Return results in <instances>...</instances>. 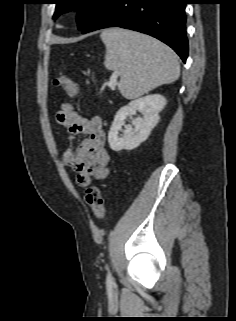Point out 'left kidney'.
<instances>
[{"label": "left kidney", "mask_w": 236, "mask_h": 321, "mask_svg": "<svg viewBox=\"0 0 236 321\" xmlns=\"http://www.w3.org/2000/svg\"><path fill=\"white\" fill-rule=\"evenodd\" d=\"M166 105V99L159 94L147 95L120 108L115 115L114 121L108 134L110 148L114 151L123 149L132 150L144 142L150 135L152 129L157 125L160 117L159 112ZM140 112L143 117L132 119V126L128 125L123 130L124 135L119 136L122 126L127 117H132Z\"/></svg>", "instance_id": "1"}]
</instances>
